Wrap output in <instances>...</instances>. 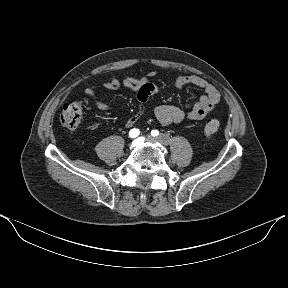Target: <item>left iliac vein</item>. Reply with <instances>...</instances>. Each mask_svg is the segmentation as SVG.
I'll return each mask as SVG.
<instances>
[{
    "mask_svg": "<svg viewBox=\"0 0 288 288\" xmlns=\"http://www.w3.org/2000/svg\"><path fill=\"white\" fill-rule=\"evenodd\" d=\"M146 137H147L148 139H152V137H151L150 135H146Z\"/></svg>",
    "mask_w": 288,
    "mask_h": 288,
    "instance_id": "1",
    "label": "left iliac vein"
}]
</instances>
